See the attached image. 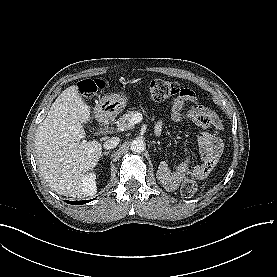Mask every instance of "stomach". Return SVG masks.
<instances>
[{"label": "stomach", "instance_id": "1", "mask_svg": "<svg viewBox=\"0 0 277 277\" xmlns=\"http://www.w3.org/2000/svg\"><path fill=\"white\" fill-rule=\"evenodd\" d=\"M127 105V97L123 92L105 96L101 101V108L109 115H116Z\"/></svg>", "mask_w": 277, "mask_h": 277}]
</instances>
